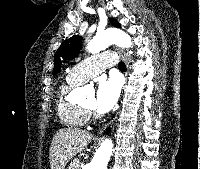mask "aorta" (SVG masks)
I'll return each instance as SVG.
<instances>
[{
    "instance_id": "1",
    "label": "aorta",
    "mask_w": 200,
    "mask_h": 169,
    "mask_svg": "<svg viewBox=\"0 0 200 169\" xmlns=\"http://www.w3.org/2000/svg\"><path fill=\"white\" fill-rule=\"evenodd\" d=\"M115 44L123 48L132 46L131 38L124 32L114 29L106 30L90 40L87 44V50L90 53H98L110 45ZM86 92V88L80 90ZM113 153V142L111 139H105L98 150L95 152L91 161L92 169H107V164Z\"/></svg>"
}]
</instances>
